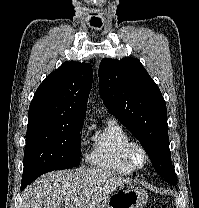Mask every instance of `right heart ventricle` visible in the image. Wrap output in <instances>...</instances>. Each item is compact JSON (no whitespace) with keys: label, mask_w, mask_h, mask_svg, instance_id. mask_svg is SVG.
<instances>
[{"label":"right heart ventricle","mask_w":199,"mask_h":208,"mask_svg":"<svg viewBox=\"0 0 199 208\" xmlns=\"http://www.w3.org/2000/svg\"><path fill=\"white\" fill-rule=\"evenodd\" d=\"M131 138L115 120H107L92 137V149L87 155L89 163L101 170L119 175H130L133 169L124 158V148Z\"/></svg>","instance_id":"e07e8e85"}]
</instances>
